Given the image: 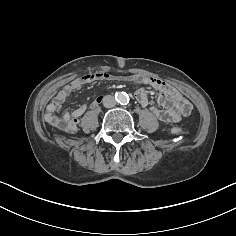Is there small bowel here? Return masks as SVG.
Listing matches in <instances>:
<instances>
[{"instance_id":"small-bowel-1","label":"small bowel","mask_w":236,"mask_h":236,"mask_svg":"<svg viewBox=\"0 0 236 236\" xmlns=\"http://www.w3.org/2000/svg\"><path fill=\"white\" fill-rule=\"evenodd\" d=\"M127 80L134 83H140L144 86L135 92L136 100L142 106H148V95L150 88H155L161 91L159 102L162 105L161 109L152 108L156 118L163 123H176L185 115H188L192 110L191 103L183 98V96L170 84L163 80L151 78L143 75L134 74L128 77H117L107 73L86 74L76 79L69 81L47 105L44 115L45 122L61 132L74 133L77 130L78 124L88 104L84 103L79 108L73 111H64L58 115L60 108L66 99L76 90L100 80ZM103 97H96L91 106L97 107L102 103Z\"/></svg>"}]
</instances>
